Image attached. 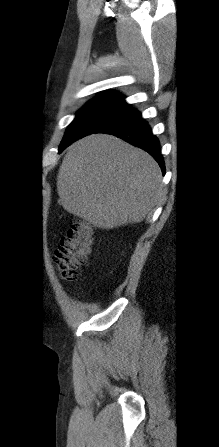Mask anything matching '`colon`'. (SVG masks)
<instances>
[{"label":"colon","mask_w":219,"mask_h":447,"mask_svg":"<svg viewBox=\"0 0 219 447\" xmlns=\"http://www.w3.org/2000/svg\"><path fill=\"white\" fill-rule=\"evenodd\" d=\"M92 243V226L81 219L74 220L54 254L56 267L64 281L78 279L80 268L87 263Z\"/></svg>","instance_id":"colon-1"}]
</instances>
